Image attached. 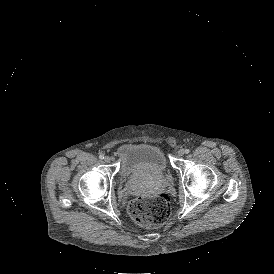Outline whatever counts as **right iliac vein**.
<instances>
[{
  "instance_id": "right-iliac-vein-1",
  "label": "right iliac vein",
  "mask_w": 274,
  "mask_h": 274,
  "mask_svg": "<svg viewBox=\"0 0 274 274\" xmlns=\"http://www.w3.org/2000/svg\"><path fill=\"white\" fill-rule=\"evenodd\" d=\"M104 161H105L106 163H109V162L111 161L110 156H105V157H104Z\"/></svg>"
}]
</instances>
